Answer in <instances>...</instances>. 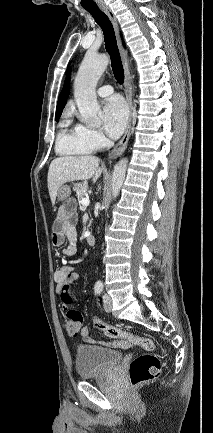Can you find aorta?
I'll return each mask as SVG.
<instances>
[{"mask_svg":"<svg viewBox=\"0 0 213 433\" xmlns=\"http://www.w3.org/2000/svg\"><path fill=\"white\" fill-rule=\"evenodd\" d=\"M108 62L109 58L105 54L94 55L87 53L74 81V97L81 115V121L89 126H97L99 123L97 114L100 112V105L97 101L96 85L107 68ZM127 163V159H122L114 167L111 180L113 199L118 196L123 185ZM95 285L102 287L103 283L97 281Z\"/></svg>","mask_w":213,"mask_h":433,"instance_id":"762f6f07","label":"aorta"}]
</instances>
